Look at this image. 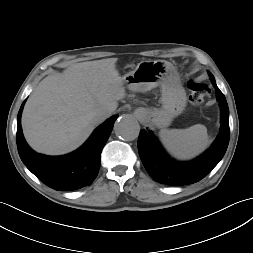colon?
Listing matches in <instances>:
<instances>
[{
  "label": "colon",
  "mask_w": 253,
  "mask_h": 253,
  "mask_svg": "<svg viewBox=\"0 0 253 253\" xmlns=\"http://www.w3.org/2000/svg\"><path fill=\"white\" fill-rule=\"evenodd\" d=\"M191 90V101L195 106H200L204 98L209 94V87L203 82L191 81L189 83Z\"/></svg>",
  "instance_id": "1"
}]
</instances>
